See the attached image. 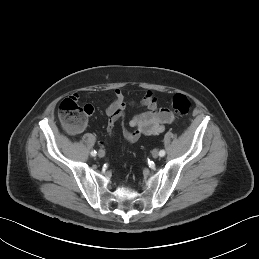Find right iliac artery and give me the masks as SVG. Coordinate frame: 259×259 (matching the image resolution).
<instances>
[{"mask_svg":"<svg viewBox=\"0 0 259 259\" xmlns=\"http://www.w3.org/2000/svg\"><path fill=\"white\" fill-rule=\"evenodd\" d=\"M96 153H97V152H96L95 150H92V151H91V155H92V156H96Z\"/></svg>","mask_w":259,"mask_h":259,"instance_id":"obj_1","label":"right iliac artery"}]
</instances>
